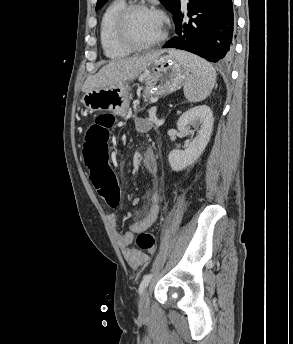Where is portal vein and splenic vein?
<instances>
[{
    "mask_svg": "<svg viewBox=\"0 0 293 344\" xmlns=\"http://www.w3.org/2000/svg\"><path fill=\"white\" fill-rule=\"evenodd\" d=\"M152 120H153L155 123H158V122H159L155 117L152 118Z\"/></svg>",
    "mask_w": 293,
    "mask_h": 344,
    "instance_id": "1",
    "label": "portal vein and splenic vein"
}]
</instances>
